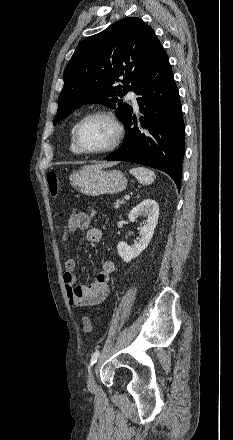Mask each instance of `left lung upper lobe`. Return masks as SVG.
Instances as JSON below:
<instances>
[{
	"instance_id": "obj_1",
	"label": "left lung upper lobe",
	"mask_w": 233,
	"mask_h": 440,
	"mask_svg": "<svg viewBox=\"0 0 233 440\" xmlns=\"http://www.w3.org/2000/svg\"><path fill=\"white\" fill-rule=\"evenodd\" d=\"M162 51L154 31L140 18L123 19L84 39L64 70L54 125L87 103L115 108L125 124L132 107L118 97L137 90ZM116 81L123 85L114 87Z\"/></svg>"
}]
</instances>
